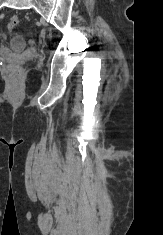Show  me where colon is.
I'll list each match as a JSON object with an SVG mask.
<instances>
[{
    "label": "colon",
    "instance_id": "5ec220e1",
    "mask_svg": "<svg viewBox=\"0 0 163 235\" xmlns=\"http://www.w3.org/2000/svg\"><path fill=\"white\" fill-rule=\"evenodd\" d=\"M19 24V18L17 16H13L7 23V28L9 31L13 30Z\"/></svg>",
    "mask_w": 163,
    "mask_h": 235
}]
</instances>
